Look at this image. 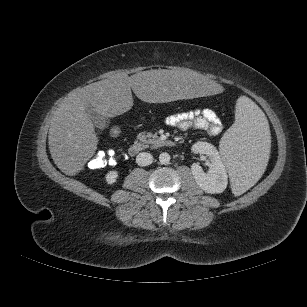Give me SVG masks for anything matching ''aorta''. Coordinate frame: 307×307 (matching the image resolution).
Returning a JSON list of instances; mask_svg holds the SVG:
<instances>
[{
	"label": "aorta",
	"mask_w": 307,
	"mask_h": 307,
	"mask_svg": "<svg viewBox=\"0 0 307 307\" xmlns=\"http://www.w3.org/2000/svg\"><path fill=\"white\" fill-rule=\"evenodd\" d=\"M170 155L167 152H163L159 155V161L161 164H168L170 162Z\"/></svg>",
	"instance_id": "aorta-1"
}]
</instances>
